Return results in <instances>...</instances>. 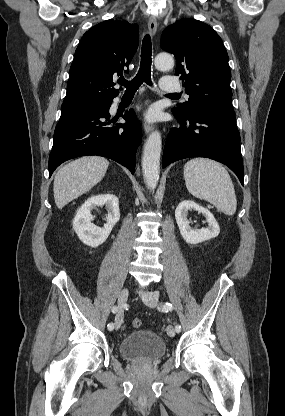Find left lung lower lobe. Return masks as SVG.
I'll return each mask as SVG.
<instances>
[{"label":"left lung lower lobe","mask_w":285,"mask_h":416,"mask_svg":"<svg viewBox=\"0 0 285 416\" xmlns=\"http://www.w3.org/2000/svg\"><path fill=\"white\" fill-rule=\"evenodd\" d=\"M177 118V117H176ZM166 140L162 167L190 157H206L227 165L244 185L240 135L233 112L198 111L177 118Z\"/></svg>","instance_id":"1"}]
</instances>
